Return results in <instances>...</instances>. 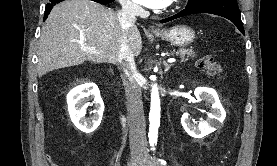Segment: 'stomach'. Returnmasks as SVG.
<instances>
[{
  "label": "stomach",
  "mask_w": 277,
  "mask_h": 166,
  "mask_svg": "<svg viewBox=\"0 0 277 166\" xmlns=\"http://www.w3.org/2000/svg\"><path fill=\"white\" fill-rule=\"evenodd\" d=\"M156 37L165 39L176 46H186L195 39L194 30L186 25H177L167 31L155 32Z\"/></svg>",
  "instance_id": "obj_1"
}]
</instances>
